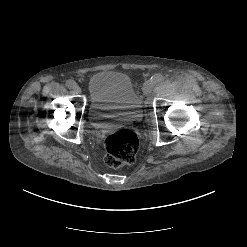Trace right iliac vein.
<instances>
[{
	"label": "right iliac vein",
	"mask_w": 247,
	"mask_h": 247,
	"mask_svg": "<svg viewBox=\"0 0 247 247\" xmlns=\"http://www.w3.org/2000/svg\"><path fill=\"white\" fill-rule=\"evenodd\" d=\"M73 89L76 94H81V88L79 86L76 85Z\"/></svg>",
	"instance_id": "obj_1"
}]
</instances>
